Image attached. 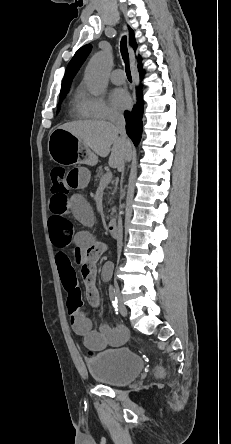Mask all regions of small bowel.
Returning a JSON list of instances; mask_svg holds the SVG:
<instances>
[{"mask_svg": "<svg viewBox=\"0 0 231 444\" xmlns=\"http://www.w3.org/2000/svg\"><path fill=\"white\" fill-rule=\"evenodd\" d=\"M91 179L88 168L79 166L67 174V185L70 190L85 188ZM51 216L48 225L52 243L57 248L56 264L65 291L70 323L74 332L81 336L85 346L90 350H103L108 346H120L128 339V330L122 326L111 328L102 325L94 329L92 321L84 308L80 288L77 284L73 262L80 265L81 276L86 287V298L94 306L99 305L100 295L95 284L96 263L104 252V246L95 241L88 231H75L67 214H72L79 221L93 222V211L88 201L79 193L72 197L56 198L50 201ZM72 246V254L68 248ZM111 272V265L105 264L102 270L106 278Z\"/></svg>", "mask_w": 231, "mask_h": 444, "instance_id": "small-bowel-1", "label": "small bowel"}]
</instances>
